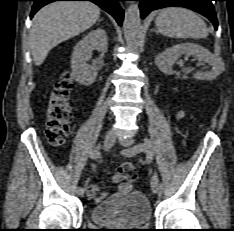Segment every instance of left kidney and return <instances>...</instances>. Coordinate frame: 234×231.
Masks as SVG:
<instances>
[{
	"label": "left kidney",
	"instance_id": "left-kidney-1",
	"mask_svg": "<svg viewBox=\"0 0 234 231\" xmlns=\"http://www.w3.org/2000/svg\"><path fill=\"white\" fill-rule=\"evenodd\" d=\"M193 56L212 66L210 71H197L193 77L198 80H213L224 71L221 58L214 56L207 49L195 43H181L165 49L155 57V64L165 74H171L173 64L182 56Z\"/></svg>",
	"mask_w": 234,
	"mask_h": 231
}]
</instances>
